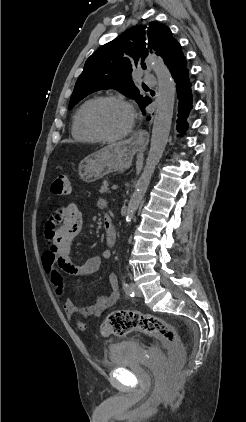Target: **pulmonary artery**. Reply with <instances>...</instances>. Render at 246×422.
I'll return each mask as SVG.
<instances>
[{
    "label": "pulmonary artery",
    "mask_w": 246,
    "mask_h": 422,
    "mask_svg": "<svg viewBox=\"0 0 246 422\" xmlns=\"http://www.w3.org/2000/svg\"><path fill=\"white\" fill-rule=\"evenodd\" d=\"M143 80L147 85L150 86H155L158 82L157 78L151 73H146L143 77Z\"/></svg>",
    "instance_id": "e3ab8cb5"
}]
</instances>
